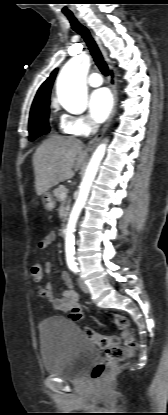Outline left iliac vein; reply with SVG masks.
<instances>
[{
  "label": "left iliac vein",
  "instance_id": "obj_1",
  "mask_svg": "<svg viewBox=\"0 0 168 415\" xmlns=\"http://www.w3.org/2000/svg\"><path fill=\"white\" fill-rule=\"evenodd\" d=\"M78 284H79V287L81 288V290H82L83 292H85V293H88V292H89V288H88V286L85 284V282L83 281V279H82V278H78Z\"/></svg>",
  "mask_w": 168,
  "mask_h": 415
}]
</instances>
